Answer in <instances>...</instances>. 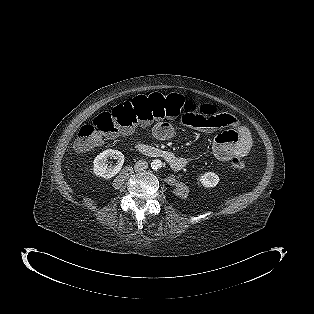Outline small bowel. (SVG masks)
I'll return each instance as SVG.
<instances>
[{
  "label": "small bowel",
  "mask_w": 314,
  "mask_h": 314,
  "mask_svg": "<svg viewBox=\"0 0 314 314\" xmlns=\"http://www.w3.org/2000/svg\"><path fill=\"white\" fill-rule=\"evenodd\" d=\"M210 113L202 107L195 108L192 112L186 111L180 117L181 124L186 128H193L201 132L221 130L215 137L213 152L223 161L229 162L236 157L246 156L252 146V136L249 129L241 125L229 113H220L211 105H206ZM129 132H124L128 134ZM152 134L158 140H168L174 134V127L168 121H161L152 127ZM184 163V158H180ZM180 170L181 168H174Z\"/></svg>",
  "instance_id": "c3829d8e"
}]
</instances>
